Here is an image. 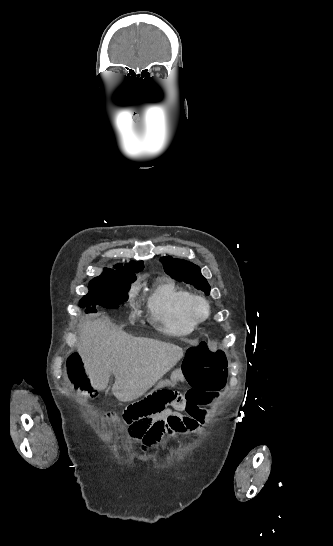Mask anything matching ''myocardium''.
I'll return each instance as SVG.
<instances>
[{"mask_svg":"<svg viewBox=\"0 0 333 546\" xmlns=\"http://www.w3.org/2000/svg\"><path fill=\"white\" fill-rule=\"evenodd\" d=\"M188 316L196 324L202 323L210 316V304L202 296L192 294L187 302Z\"/></svg>","mask_w":333,"mask_h":546,"instance_id":"obj_1","label":"myocardium"}]
</instances>
